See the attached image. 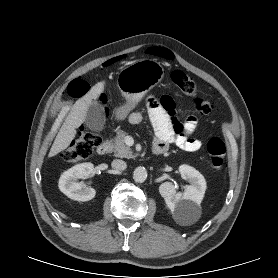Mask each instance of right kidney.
<instances>
[{
  "label": "right kidney",
  "mask_w": 278,
  "mask_h": 278,
  "mask_svg": "<svg viewBox=\"0 0 278 278\" xmlns=\"http://www.w3.org/2000/svg\"><path fill=\"white\" fill-rule=\"evenodd\" d=\"M92 163H81L63 172L59 179V189L68 198L76 201H89L95 197L96 191L85 187L77 179H84L93 172Z\"/></svg>",
  "instance_id": "right-kidney-1"
}]
</instances>
